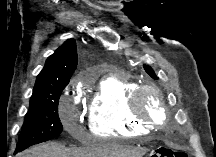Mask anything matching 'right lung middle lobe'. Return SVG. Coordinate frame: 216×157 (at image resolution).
<instances>
[{
	"label": "right lung middle lobe",
	"instance_id": "1",
	"mask_svg": "<svg viewBox=\"0 0 216 157\" xmlns=\"http://www.w3.org/2000/svg\"><path fill=\"white\" fill-rule=\"evenodd\" d=\"M62 90L47 97L30 101L15 152L48 141L63 131L58 116V103Z\"/></svg>",
	"mask_w": 216,
	"mask_h": 157
}]
</instances>
